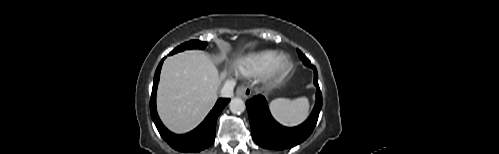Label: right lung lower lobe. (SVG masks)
Instances as JSON below:
<instances>
[{"mask_svg":"<svg viewBox=\"0 0 499 154\" xmlns=\"http://www.w3.org/2000/svg\"><path fill=\"white\" fill-rule=\"evenodd\" d=\"M164 60V59H163ZM163 60L159 63L152 88L150 100V112L161 137L175 150L181 152H200L213 144L215 139L216 121L223 108L230 99L219 98L205 120L193 131L177 135L165 128L156 111V91L160 77V70Z\"/></svg>","mask_w":499,"mask_h":154,"instance_id":"right-lung-lower-lobe-1","label":"right lung lower lobe"}]
</instances>
